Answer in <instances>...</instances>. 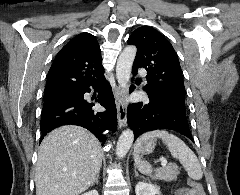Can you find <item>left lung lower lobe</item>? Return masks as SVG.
<instances>
[{
	"label": "left lung lower lobe",
	"instance_id": "0a47b994",
	"mask_svg": "<svg viewBox=\"0 0 240 195\" xmlns=\"http://www.w3.org/2000/svg\"><path fill=\"white\" fill-rule=\"evenodd\" d=\"M133 90L134 87L131 86L130 92ZM148 97V103H133L127 109V122L134 132V140L148 131L170 129L187 136L193 141L186 118L185 106L156 94L148 95Z\"/></svg>",
	"mask_w": 240,
	"mask_h": 195
}]
</instances>
